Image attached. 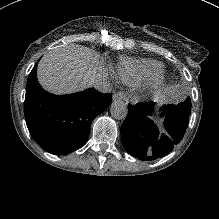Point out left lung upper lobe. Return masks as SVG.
Wrapping results in <instances>:
<instances>
[{"label":"left lung upper lobe","mask_w":219,"mask_h":219,"mask_svg":"<svg viewBox=\"0 0 219 219\" xmlns=\"http://www.w3.org/2000/svg\"><path fill=\"white\" fill-rule=\"evenodd\" d=\"M179 108H182L183 110L190 112L191 111V102L190 98L188 97L183 103H179L178 105H175Z\"/></svg>","instance_id":"1"}]
</instances>
